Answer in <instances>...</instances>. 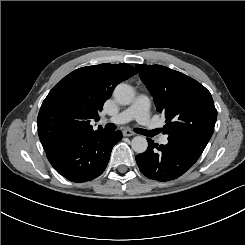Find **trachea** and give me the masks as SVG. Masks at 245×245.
<instances>
[{"label":"trachea","mask_w":245,"mask_h":245,"mask_svg":"<svg viewBox=\"0 0 245 245\" xmlns=\"http://www.w3.org/2000/svg\"><path fill=\"white\" fill-rule=\"evenodd\" d=\"M105 129L108 131H114L116 129V126L113 123H108L105 125ZM134 131L141 134L142 129L135 128ZM157 133L158 132L156 130H153V131L144 130L143 135L153 136V135H156Z\"/></svg>","instance_id":"trachea-1"}]
</instances>
